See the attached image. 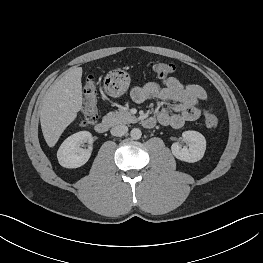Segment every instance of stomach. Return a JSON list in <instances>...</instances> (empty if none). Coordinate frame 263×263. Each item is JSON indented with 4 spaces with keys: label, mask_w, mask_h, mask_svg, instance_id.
<instances>
[{
    "label": "stomach",
    "mask_w": 263,
    "mask_h": 263,
    "mask_svg": "<svg viewBox=\"0 0 263 263\" xmlns=\"http://www.w3.org/2000/svg\"><path fill=\"white\" fill-rule=\"evenodd\" d=\"M105 80L106 91L115 98L122 96L128 90L131 81L129 74L121 69L110 72Z\"/></svg>",
    "instance_id": "1"
}]
</instances>
